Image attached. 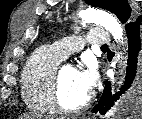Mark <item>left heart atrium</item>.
Returning <instances> with one entry per match:
<instances>
[{"mask_svg":"<svg viewBox=\"0 0 142 119\" xmlns=\"http://www.w3.org/2000/svg\"><path fill=\"white\" fill-rule=\"evenodd\" d=\"M77 79L80 86L88 93L92 91L96 83V70L92 66H87L81 70H77Z\"/></svg>","mask_w":142,"mask_h":119,"instance_id":"1","label":"left heart atrium"}]
</instances>
